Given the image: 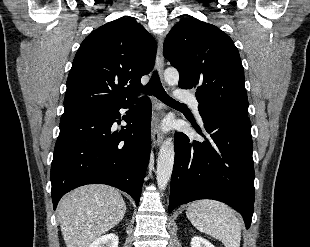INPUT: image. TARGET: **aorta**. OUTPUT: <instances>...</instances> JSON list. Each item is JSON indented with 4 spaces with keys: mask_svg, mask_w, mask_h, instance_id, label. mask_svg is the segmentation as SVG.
Wrapping results in <instances>:
<instances>
[{
    "mask_svg": "<svg viewBox=\"0 0 310 247\" xmlns=\"http://www.w3.org/2000/svg\"><path fill=\"white\" fill-rule=\"evenodd\" d=\"M164 79L168 85H176L179 81V73L174 68H168L164 72ZM174 143L172 138L164 140L160 147L157 159L156 179L158 188L163 191L171 178L174 165Z\"/></svg>",
    "mask_w": 310,
    "mask_h": 247,
    "instance_id": "aorta-1",
    "label": "aorta"
}]
</instances>
